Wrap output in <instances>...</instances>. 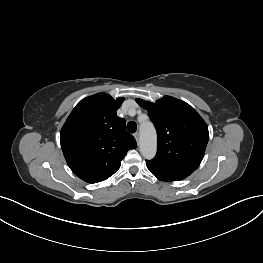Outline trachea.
<instances>
[{
  "label": "trachea",
  "instance_id": "1",
  "mask_svg": "<svg viewBox=\"0 0 263 263\" xmlns=\"http://www.w3.org/2000/svg\"><path fill=\"white\" fill-rule=\"evenodd\" d=\"M136 129H137V125L135 122H128V124H127V131L128 132L134 133V132H136Z\"/></svg>",
  "mask_w": 263,
  "mask_h": 263
}]
</instances>
